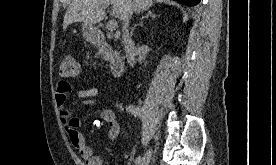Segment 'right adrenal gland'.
Masks as SVG:
<instances>
[{
    "instance_id": "right-adrenal-gland-1",
    "label": "right adrenal gland",
    "mask_w": 276,
    "mask_h": 165,
    "mask_svg": "<svg viewBox=\"0 0 276 165\" xmlns=\"http://www.w3.org/2000/svg\"><path fill=\"white\" fill-rule=\"evenodd\" d=\"M144 12H145V15H143ZM141 14H142V16H141V18H139V23L133 25L131 32H133L138 25L141 26L143 24V20L145 18L148 19L150 17V18L154 19L156 17L150 10H144L141 12Z\"/></svg>"
}]
</instances>
